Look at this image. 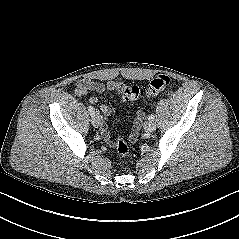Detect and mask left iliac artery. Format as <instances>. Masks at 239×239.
<instances>
[{
	"label": "left iliac artery",
	"instance_id": "obj_1",
	"mask_svg": "<svg viewBox=\"0 0 239 239\" xmlns=\"http://www.w3.org/2000/svg\"><path fill=\"white\" fill-rule=\"evenodd\" d=\"M154 118H155V116H154L153 114H151V115L148 117V120L154 121Z\"/></svg>",
	"mask_w": 239,
	"mask_h": 239
}]
</instances>
